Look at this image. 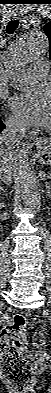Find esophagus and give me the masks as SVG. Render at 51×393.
<instances>
[{"label": "esophagus", "mask_w": 51, "mask_h": 393, "mask_svg": "<svg viewBox=\"0 0 51 393\" xmlns=\"http://www.w3.org/2000/svg\"><path fill=\"white\" fill-rule=\"evenodd\" d=\"M35 140H36V145H37V146H40L41 143H42V141H41L40 139H38V138H35Z\"/></svg>", "instance_id": "1"}]
</instances>
